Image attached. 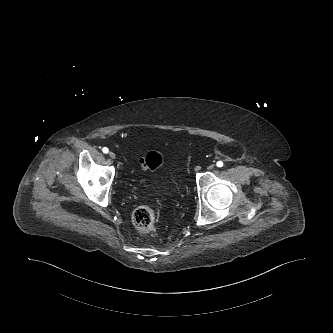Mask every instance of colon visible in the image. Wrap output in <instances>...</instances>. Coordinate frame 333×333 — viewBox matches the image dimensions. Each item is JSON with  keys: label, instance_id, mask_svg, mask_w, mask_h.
<instances>
[{"label": "colon", "instance_id": "1", "mask_svg": "<svg viewBox=\"0 0 333 333\" xmlns=\"http://www.w3.org/2000/svg\"><path fill=\"white\" fill-rule=\"evenodd\" d=\"M163 158L157 151H150L141 161V166L145 170H154L162 165ZM132 222L136 229L144 233H150L156 227V215L147 206L138 207L132 215Z\"/></svg>", "mask_w": 333, "mask_h": 333}]
</instances>
